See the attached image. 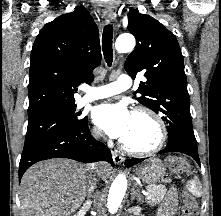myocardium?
Segmentation results:
<instances>
[{"label": "myocardium", "mask_w": 221, "mask_h": 216, "mask_svg": "<svg viewBox=\"0 0 221 216\" xmlns=\"http://www.w3.org/2000/svg\"><path fill=\"white\" fill-rule=\"evenodd\" d=\"M133 114L137 115V114H142V115H146L149 118H151L158 129V139L156 141V143L150 147V148H145V149H137V148H133L128 146L124 141L120 142V147L121 149L131 155H135V156H144V155H150L153 154L157 151H159L165 144L166 140H167V127L166 124L164 122V120L162 119V117L153 109L147 107V106H138L134 109Z\"/></svg>", "instance_id": "1"}]
</instances>
